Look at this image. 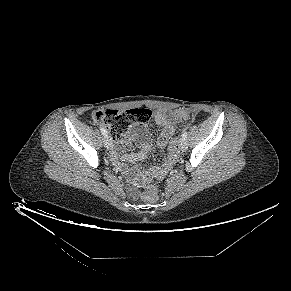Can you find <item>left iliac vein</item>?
Returning a JSON list of instances; mask_svg holds the SVG:
<instances>
[{"label": "left iliac vein", "instance_id": "4c4485c4", "mask_svg": "<svg viewBox=\"0 0 291 291\" xmlns=\"http://www.w3.org/2000/svg\"><path fill=\"white\" fill-rule=\"evenodd\" d=\"M188 148V143L186 140L184 139H181L179 141V149L182 150V151H185L186 149Z\"/></svg>", "mask_w": 291, "mask_h": 291}]
</instances>
